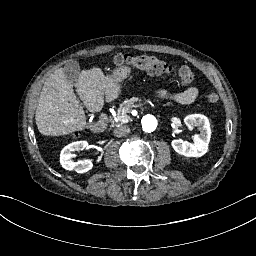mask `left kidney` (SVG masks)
<instances>
[{"label": "left kidney", "instance_id": "5707ae66", "mask_svg": "<svg viewBox=\"0 0 256 256\" xmlns=\"http://www.w3.org/2000/svg\"><path fill=\"white\" fill-rule=\"evenodd\" d=\"M184 124L190 131L198 128V132L193 138V144L183 139H174L171 142L173 149L177 154L185 157H202L208 151L211 134L207 117L200 114L189 115L184 119Z\"/></svg>", "mask_w": 256, "mask_h": 256}]
</instances>
